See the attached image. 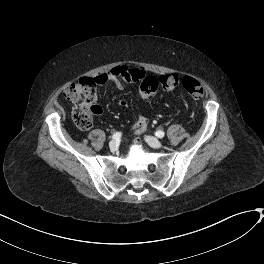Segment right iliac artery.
<instances>
[{
  "label": "right iliac artery",
  "mask_w": 264,
  "mask_h": 264,
  "mask_svg": "<svg viewBox=\"0 0 264 264\" xmlns=\"http://www.w3.org/2000/svg\"><path fill=\"white\" fill-rule=\"evenodd\" d=\"M121 137V133L120 132H116L113 136H112V138L113 139H119Z\"/></svg>",
  "instance_id": "right-iliac-artery-1"
}]
</instances>
